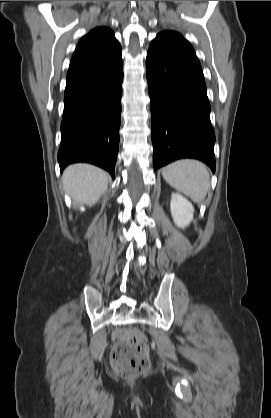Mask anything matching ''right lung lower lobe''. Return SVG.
I'll return each mask as SVG.
<instances>
[{"mask_svg":"<svg viewBox=\"0 0 271 418\" xmlns=\"http://www.w3.org/2000/svg\"><path fill=\"white\" fill-rule=\"evenodd\" d=\"M123 61L64 96L61 171L75 162L95 164L113 176L119 147Z\"/></svg>","mask_w":271,"mask_h":418,"instance_id":"obj_1","label":"right lung lower lobe"}]
</instances>
